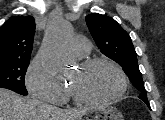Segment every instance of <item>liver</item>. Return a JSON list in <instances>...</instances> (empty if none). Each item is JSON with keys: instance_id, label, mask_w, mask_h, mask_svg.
<instances>
[{"instance_id": "1", "label": "liver", "mask_w": 165, "mask_h": 120, "mask_svg": "<svg viewBox=\"0 0 165 120\" xmlns=\"http://www.w3.org/2000/svg\"><path fill=\"white\" fill-rule=\"evenodd\" d=\"M87 111V108L62 110L0 88V120H80Z\"/></svg>"}]
</instances>
